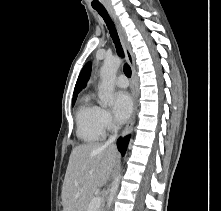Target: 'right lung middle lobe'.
<instances>
[{"instance_id": "1", "label": "right lung middle lobe", "mask_w": 221, "mask_h": 211, "mask_svg": "<svg viewBox=\"0 0 221 211\" xmlns=\"http://www.w3.org/2000/svg\"><path fill=\"white\" fill-rule=\"evenodd\" d=\"M76 98H77V96H76V97H73V100H72V106H74L75 101H76Z\"/></svg>"}]
</instances>
